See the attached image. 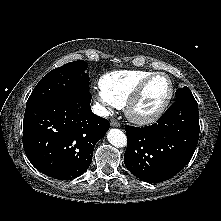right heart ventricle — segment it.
<instances>
[{"label": "right heart ventricle", "instance_id": "obj_1", "mask_svg": "<svg viewBox=\"0 0 221 221\" xmlns=\"http://www.w3.org/2000/svg\"><path fill=\"white\" fill-rule=\"evenodd\" d=\"M153 73L149 70H115L105 73L99 79V88L118 107H123L138 83Z\"/></svg>", "mask_w": 221, "mask_h": 221}]
</instances>
